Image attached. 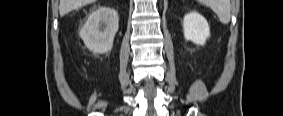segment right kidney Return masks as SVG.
<instances>
[{
    "mask_svg": "<svg viewBox=\"0 0 283 116\" xmlns=\"http://www.w3.org/2000/svg\"><path fill=\"white\" fill-rule=\"evenodd\" d=\"M118 28L117 12L112 8L100 7L89 15L79 36L90 51L103 54L112 49Z\"/></svg>",
    "mask_w": 283,
    "mask_h": 116,
    "instance_id": "obj_1",
    "label": "right kidney"
}]
</instances>
